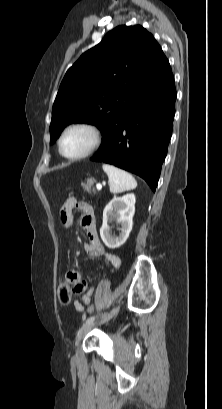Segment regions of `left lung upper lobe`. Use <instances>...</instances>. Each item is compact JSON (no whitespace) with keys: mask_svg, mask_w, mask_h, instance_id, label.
I'll return each mask as SVG.
<instances>
[{"mask_svg":"<svg viewBox=\"0 0 222 409\" xmlns=\"http://www.w3.org/2000/svg\"><path fill=\"white\" fill-rule=\"evenodd\" d=\"M171 72L160 45L140 25L118 26L67 71L52 109L50 144L71 123L102 135L130 101Z\"/></svg>","mask_w":222,"mask_h":409,"instance_id":"left-lung-upper-lobe-1","label":"left lung upper lobe"}]
</instances>
